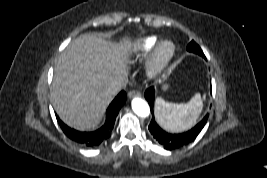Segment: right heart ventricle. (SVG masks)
I'll return each instance as SVG.
<instances>
[{
  "mask_svg": "<svg viewBox=\"0 0 267 178\" xmlns=\"http://www.w3.org/2000/svg\"><path fill=\"white\" fill-rule=\"evenodd\" d=\"M158 43L159 38L157 36L143 37L133 43L129 50V57L134 61L143 60L153 52Z\"/></svg>",
  "mask_w": 267,
  "mask_h": 178,
  "instance_id": "1",
  "label": "right heart ventricle"
}]
</instances>
